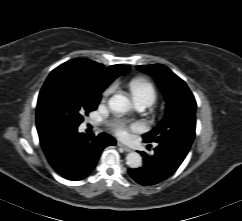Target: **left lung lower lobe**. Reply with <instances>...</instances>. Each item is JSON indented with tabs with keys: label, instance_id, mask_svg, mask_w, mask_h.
Instances as JSON below:
<instances>
[{
	"label": "left lung lower lobe",
	"instance_id": "left-lung-lower-lobe-1",
	"mask_svg": "<svg viewBox=\"0 0 242 221\" xmlns=\"http://www.w3.org/2000/svg\"><path fill=\"white\" fill-rule=\"evenodd\" d=\"M190 148L174 142L158 143L154 154L140 152L144 164L137 169H129V175L141 185H154L170 177L181 165Z\"/></svg>",
	"mask_w": 242,
	"mask_h": 221
}]
</instances>
